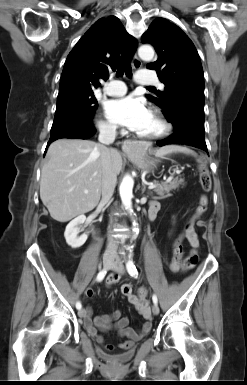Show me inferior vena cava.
Here are the masks:
<instances>
[{
  "label": "inferior vena cava",
  "instance_id": "602c4592",
  "mask_svg": "<svg viewBox=\"0 0 247 385\" xmlns=\"http://www.w3.org/2000/svg\"><path fill=\"white\" fill-rule=\"evenodd\" d=\"M99 131L100 133L98 140L101 143L100 145L104 149V152L101 156L103 167L101 201L103 203H109L111 201L116 186L117 175L113 170L109 149L106 146L114 142L116 138V126L111 124L103 125L100 127ZM116 250L117 241L113 237L109 236L105 255L114 256L116 254Z\"/></svg>",
  "mask_w": 247,
  "mask_h": 385
}]
</instances>
